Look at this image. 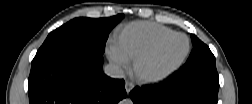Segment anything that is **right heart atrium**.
Listing matches in <instances>:
<instances>
[{
    "label": "right heart atrium",
    "instance_id": "d8ad5b80",
    "mask_svg": "<svg viewBox=\"0 0 252 104\" xmlns=\"http://www.w3.org/2000/svg\"><path fill=\"white\" fill-rule=\"evenodd\" d=\"M108 57L110 61L119 69L127 70L129 67V61L118 51L115 44L111 43L108 47Z\"/></svg>",
    "mask_w": 252,
    "mask_h": 104
}]
</instances>
